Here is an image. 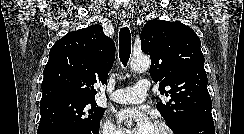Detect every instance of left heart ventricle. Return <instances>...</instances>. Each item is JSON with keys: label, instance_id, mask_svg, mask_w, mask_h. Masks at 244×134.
<instances>
[{"label": "left heart ventricle", "instance_id": "1", "mask_svg": "<svg viewBox=\"0 0 244 134\" xmlns=\"http://www.w3.org/2000/svg\"><path fill=\"white\" fill-rule=\"evenodd\" d=\"M151 134H166L162 129L154 125Z\"/></svg>", "mask_w": 244, "mask_h": 134}]
</instances>
